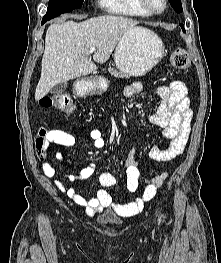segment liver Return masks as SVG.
<instances>
[{
	"label": "liver",
	"instance_id": "obj_1",
	"mask_svg": "<svg viewBox=\"0 0 221 263\" xmlns=\"http://www.w3.org/2000/svg\"><path fill=\"white\" fill-rule=\"evenodd\" d=\"M137 21L122 16L103 15L82 22L51 24L45 36L41 77L35 90L40 100L61 82L85 76L97 69L89 49L95 47L93 60L103 64L122 36L135 28Z\"/></svg>",
	"mask_w": 221,
	"mask_h": 263
}]
</instances>
